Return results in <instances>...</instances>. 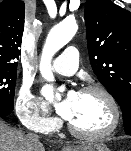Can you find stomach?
<instances>
[{
	"label": "stomach",
	"mask_w": 131,
	"mask_h": 151,
	"mask_svg": "<svg viewBox=\"0 0 131 151\" xmlns=\"http://www.w3.org/2000/svg\"><path fill=\"white\" fill-rule=\"evenodd\" d=\"M65 151H110L102 142H89L79 147L66 148Z\"/></svg>",
	"instance_id": "stomach-1"
}]
</instances>
